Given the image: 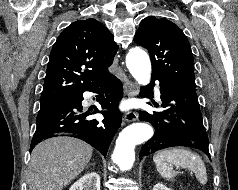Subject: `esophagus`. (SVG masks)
Listing matches in <instances>:
<instances>
[{
	"mask_svg": "<svg viewBox=\"0 0 238 190\" xmlns=\"http://www.w3.org/2000/svg\"><path fill=\"white\" fill-rule=\"evenodd\" d=\"M124 89L126 95L129 97L137 95L139 91V87L137 86V84L128 78H125L124 80ZM137 118L138 116L136 112L129 111L124 115L123 120L126 122H132L137 120Z\"/></svg>",
	"mask_w": 238,
	"mask_h": 190,
	"instance_id": "34e87169",
	"label": "esophagus"
}]
</instances>
